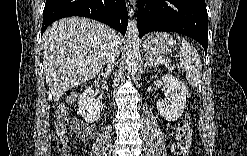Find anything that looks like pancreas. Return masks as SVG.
Here are the masks:
<instances>
[{"instance_id": "obj_1", "label": "pancreas", "mask_w": 247, "mask_h": 156, "mask_svg": "<svg viewBox=\"0 0 247 156\" xmlns=\"http://www.w3.org/2000/svg\"><path fill=\"white\" fill-rule=\"evenodd\" d=\"M151 59H152L153 61H155L156 63H160V61H161L162 59H165V58L158 56V57H151Z\"/></svg>"}]
</instances>
